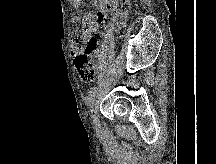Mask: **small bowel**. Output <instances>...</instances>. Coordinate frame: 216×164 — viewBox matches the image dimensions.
Listing matches in <instances>:
<instances>
[{
  "label": "small bowel",
  "instance_id": "obj_1",
  "mask_svg": "<svg viewBox=\"0 0 216 164\" xmlns=\"http://www.w3.org/2000/svg\"><path fill=\"white\" fill-rule=\"evenodd\" d=\"M91 16H92L91 14H88L86 15L85 19L90 18Z\"/></svg>",
  "mask_w": 216,
  "mask_h": 164
}]
</instances>
